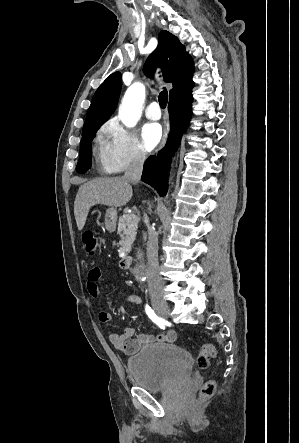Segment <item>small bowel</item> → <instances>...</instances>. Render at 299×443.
<instances>
[{
  "label": "small bowel",
  "instance_id": "c3829d8e",
  "mask_svg": "<svg viewBox=\"0 0 299 443\" xmlns=\"http://www.w3.org/2000/svg\"><path fill=\"white\" fill-rule=\"evenodd\" d=\"M101 278V270L99 268H92L87 277V290L89 294L95 298L100 295L98 280ZM127 301L135 304H142V298L137 294H130ZM98 318L101 322H108L111 320V314L107 311H100ZM176 340V332L168 330L163 334L150 335L141 333L135 336L133 328L127 327L121 333L112 332L109 334V341L118 350L124 351L125 354L131 355L138 351L143 345L152 343H168Z\"/></svg>",
  "mask_w": 299,
  "mask_h": 443
}]
</instances>
